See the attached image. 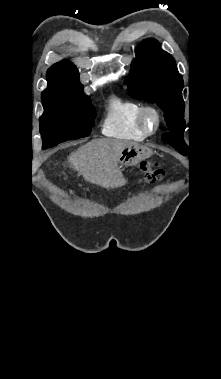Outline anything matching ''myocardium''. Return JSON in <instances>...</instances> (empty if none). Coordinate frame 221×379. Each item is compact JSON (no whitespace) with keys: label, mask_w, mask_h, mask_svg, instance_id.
<instances>
[{"label":"myocardium","mask_w":221,"mask_h":379,"mask_svg":"<svg viewBox=\"0 0 221 379\" xmlns=\"http://www.w3.org/2000/svg\"><path fill=\"white\" fill-rule=\"evenodd\" d=\"M138 124L145 136L156 134L161 126V114L153 106H143L138 115Z\"/></svg>","instance_id":"myocardium-1"}]
</instances>
